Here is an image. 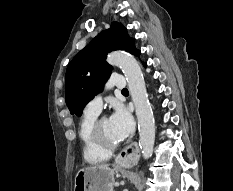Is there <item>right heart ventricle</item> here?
I'll list each match as a JSON object with an SVG mask.
<instances>
[{
    "instance_id": "right-heart-ventricle-1",
    "label": "right heart ventricle",
    "mask_w": 233,
    "mask_h": 191,
    "mask_svg": "<svg viewBox=\"0 0 233 191\" xmlns=\"http://www.w3.org/2000/svg\"><path fill=\"white\" fill-rule=\"evenodd\" d=\"M97 117V113L85 111L78 130L84 159L90 164L107 161L111 156V152L103 150L93 140L92 127Z\"/></svg>"
}]
</instances>
